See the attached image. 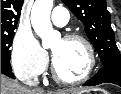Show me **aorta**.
Returning <instances> with one entry per match:
<instances>
[{
    "mask_svg": "<svg viewBox=\"0 0 121 94\" xmlns=\"http://www.w3.org/2000/svg\"><path fill=\"white\" fill-rule=\"evenodd\" d=\"M53 0H35L31 11V24L36 34L42 39V46L48 48L60 34L53 29L50 13Z\"/></svg>",
    "mask_w": 121,
    "mask_h": 94,
    "instance_id": "aorta-1",
    "label": "aorta"
}]
</instances>
